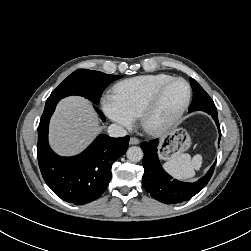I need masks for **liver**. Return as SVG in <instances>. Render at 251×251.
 Here are the masks:
<instances>
[{
	"label": "liver",
	"instance_id": "1",
	"mask_svg": "<svg viewBox=\"0 0 251 251\" xmlns=\"http://www.w3.org/2000/svg\"><path fill=\"white\" fill-rule=\"evenodd\" d=\"M90 101L78 96L62 99L50 122L49 140L60 155L81 152L101 132Z\"/></svg>",
	"mask_w": 251,
	"mask_h": 251
}]
</instances>
